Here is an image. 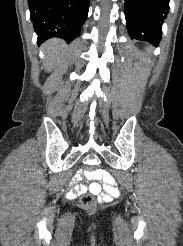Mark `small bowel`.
Returning a JSON list of instances; mask_svg holds the SVG:
<instances>
[{
    "mask_svg": "<svg viewBox=\"0 0 183 246\" xmlns=\"http://www.w3.org/2000/svg\"><path fill=\"white\" fill-rule=\"evenodd\" d=\"M86 183H92L87 185H76L78 179H84V174H73L71 184H67V189H73L67 193V198H78V196L91 192L96 195H101L102 198H119L120 194L118 189L113 185L116 180V175H110V170H91L87 173ZM93 179H101L104 185L99 183H93Z\"/></svg>",
    "mask_w": 183,
    "mask_h": 246,
    "instance_id": "small-bowel-1",
    "label": "small bowel"
}]
</instances>
